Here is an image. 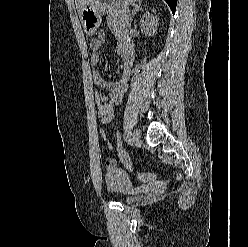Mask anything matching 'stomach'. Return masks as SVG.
Wrapping results in <instances>:
<instances>
[{"instance_id":"0dacf381","label":"stomach","mask_w":248,"mask_h":247,"mask_svg":"<svg viewBox=\"0 0 248 247\" xmlns=\"http://www.w3.org/2000/svg\"><path fill=\"white\" fill-rule=\"evenodd\" d=\"M138 0H89L79 14L84 32L93 35L101 24V13H110L113 10H123Z\"/></svg>"}]
</instances>
